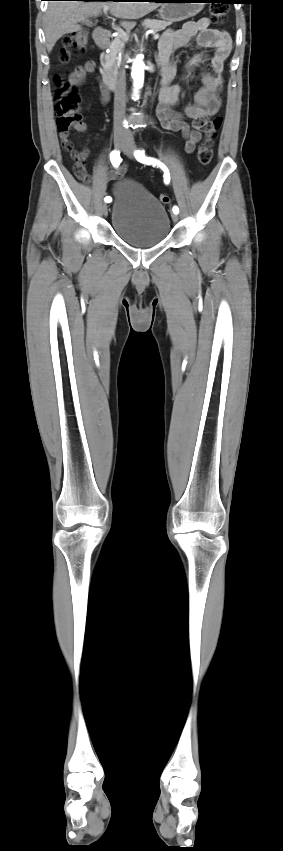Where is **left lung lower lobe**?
I'll list each match as a JSON object with an SVG mask.
<instances>
[{"instance_id": "left-lung-lower-lobe-1", "label": "left lung lower lobe", "mask_w": 283, "mask_h": 851, "mask_svg": "<svg viewBox=\"0 0 283 851\" xmlns=\"http://www.w3.org/2000/svg\"><path fill=\"white\" fill-rule=\"evenodd\" d=\"M167 1H169V0H155V2H167ZM226 3L227 4H234V3H237V2L229 0V2H226Z\"/></svg>"}]
</instances>
